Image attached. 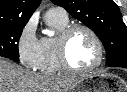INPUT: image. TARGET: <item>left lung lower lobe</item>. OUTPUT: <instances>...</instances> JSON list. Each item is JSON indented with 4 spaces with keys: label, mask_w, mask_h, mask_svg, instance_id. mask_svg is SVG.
<instances>
[{
    "label": "left lung lower lobe",
    "mask_w": 127,
    "mask_h": 92,
    "mask_svg": "<svg viewBox=\"0 0 127 92\" xmlns=\"http://www.w3.org/2000/svg\"><path fill=\"white\" fill-rule=\"evenodd\" d=\"M110 67H123L127 68V56L117 58L110 63H107Z\"/></svg>",
    "instance_id": "obj_1"
}]
</instances>
